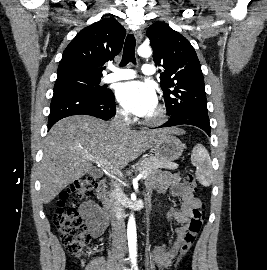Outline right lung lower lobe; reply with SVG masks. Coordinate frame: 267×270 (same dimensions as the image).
Segmentation results:
<instances>
[{
  "instance_id": "1",
  "label": "right lung lower lobe",
  "mask_w": 267,
  "mask_h": 270,
  "mask_svg": "<svg viewBox=\"0 0 267 270\" xmlns=\"http://www.w3.org/2000/svg\"><path fill=\"white\" fill-rule=\"evenodd\" d=\"M115 99L111 92L105 97L83 96L72 93L54 94L48 119V130L60 119L85 114L109 120L115 114Z\"/></svg>"
}]
</instances>
